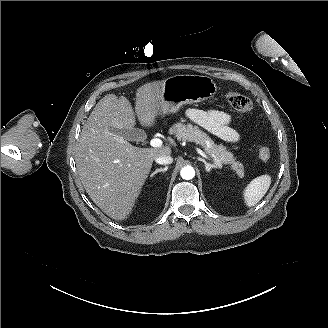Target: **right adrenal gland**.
Wrapping results in <instances>:
<instances>
[{
	"mask_svg": "<svg viewBox=\"0 0 328 328\" xmlns=\"http://www.w3.org/2000/svg\"><path fill=\"white\" fill-rule=\"evenodd\" d=\"M168 169V166L164 167V168H159V169H156L152 174H151V177L154 176L155 174H157L158 172H164Z\"/></svg>",
	"mask_w": 328,
	"mask_h": 328,
	"instance_id": "right-adrenal-gland-1",
	"label": "right adrenal gland"
}]
</instances>
